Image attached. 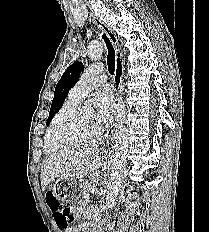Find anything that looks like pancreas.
Masks as SVG:
<instances>
[{
    "label": "pancreas",
    "instance_id": "1",
    "mask_svg": "<svg viewBox=\"0 0 209 232\" xmlns=\"http://www.w3.org/2000/svg\"><path fill=\"white\" fill-rule=\"evenodd\" d=\"M90 185H91V184H90V182H88V181L83 182V183L81 184V186H80L82 192H83V193L88 192V190H89V188H90ZM81 203H82L83 205L85 204L84 201H81Z\"/></svg>",
    "mask_w": 209,
    "mask_h": 232
}]
</instances>
